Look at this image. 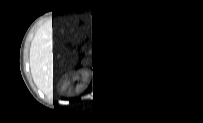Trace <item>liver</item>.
<instances>
[{
	"label": "liver",
	"instance_id": "6515ba94",
	"mask_svg": "<svg viewBox=\"0 0 203 123\" xmlns=\"http://www.w3.org/2000/svg\"><path fill=\"white\" fill-rule=\"evenodd\" d=\"M80 22L82 26H79ZM91 33V14L57 17L37 31L30 49L32 77L49 99L60 98V80L72 73L79 63L74 47L90 38Z\"/></svg>",
	"mask_w": 203,
	"mask_h": 123
}]
</instances>
